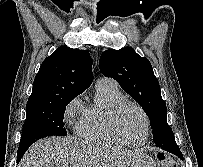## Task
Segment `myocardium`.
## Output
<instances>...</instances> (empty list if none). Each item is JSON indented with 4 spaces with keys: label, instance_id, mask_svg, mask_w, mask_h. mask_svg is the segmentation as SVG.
Here are the masks:
<instances>
[{
    "label": "myocardium",
    "instance_id": "f54148a6",
    "mask_svg": "<svg viewBox=\"0 0 203 167\" xmlns=\"http://www.w3.org/2000/svg\"><path fill=\"white\" fill-rule=\"evenodd\" d=\"M129 106L136 108L142 114L143 119H144V123H145L144 136L141 140L136 141V142H131V141L126 140L121 135V133L119 132L118 127H117V121H118V118H119L121 112L126 107H129ZM107 126H108L110 133L112 134V136L115 139H117L122 144L127 145V146H131V147H138V146L143 145L147 141L149 134H150L149 115L147 114L145 109L140 104H138L137 102L128 100V99H123L116 104V106L114 107V109L112 110V112L110 113V115L108 117Z\"/></svg>",
    "mask_w": 203,
    "mask_h": 167
}]
</instances>
